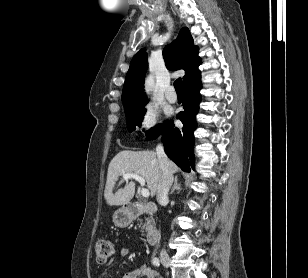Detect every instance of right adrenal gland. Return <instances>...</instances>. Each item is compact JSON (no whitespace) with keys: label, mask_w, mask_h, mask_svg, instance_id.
Returning <instances> with one entry per match:
<instances>
[{"label":"right adrenal gland","mask_w":308,"mask_h":278,"mask_svg":"<svg viewBox=\"0 0 308 278\" xmlns=\"http://www.w3.org/2000/svg\"><path fill=\"white\" fill-rule=\"evenodd\" d=\"M181 189V185L178 184V176H175V179H174V185L171 189V192L170 194L172 195L174 193L175 190H180Z\"/></svg>","instance_id":"obj_1"}]
</instances>
